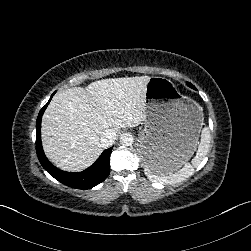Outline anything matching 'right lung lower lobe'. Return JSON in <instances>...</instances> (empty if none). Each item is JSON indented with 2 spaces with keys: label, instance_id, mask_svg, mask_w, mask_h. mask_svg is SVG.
I'll return each mask as SVG.
<instances>
[{
  "label": "right lung lower lobe",
  "instance_id": "1",
  "mask_svg": "<svg viewBox=\"0 0 251 251\" xmlns=\"http://www.w3.org/2000/svg\"><path fill=\"white\" fill-rule=\"evenodd\" d=\"M53 95L54 93L52 94V96ZM52 96L50 100L52 99ZM50 100L40 110L36 122V129H37L36 152L41 165L56 180L72 188L90 189L100 184L108 177L110 172V154L112 151V147L105 150L91 167L82 172H77V173H69L59 170L56 167H54L46 158L42 148L40 129H41L42 115L47 105L49 104Z\"/></svg>",
  "mask_w": 251,
  "mask_h": 251
}]
</instances>
